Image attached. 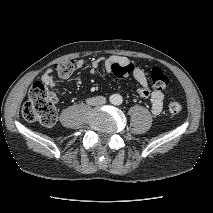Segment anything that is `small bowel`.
Returning a JSON list of instances; mask_svg holds the SVG:
<instances>
[{
    "label": "small bowel",
    "mask_w": 213,
    "mask_h": 213,
    "mask_svg": "<svg viewBox=\"0 0 213 213\" xmlns=\"http://www.w3.org/2000/svg\"><path fill=\"white\" fill-rule=\"evenodd\" d=\"M124 62H131V61L125 57H120L116 55H110L104 58H97L91 62L90 72L92 74L96 73L100 65H103L105 70L111 73L112 67L114 64L124 63ZM132 65H133V71L131 74L133 78L135 79V81L138 83L137 93L141 97L147 98L150 100L151 112L154 115L160 114L164 106V94L161 91L156 90L149 85L146 72L142 68L135 66L133 63ZM83 66H84V61L82 59H79L75 62L76 69H81ZM53 72H54L53 68H48L42 74L41 79L48 86H54L55 84V78H54Z\"/></svg>",
    "instance_id": "1"
}]
</instances>
